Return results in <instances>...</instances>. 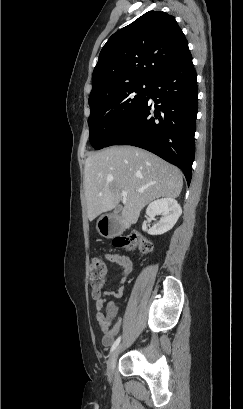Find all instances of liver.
I'll return each mask as SVG.
<instances>
[{"label":"liver","mask_w":243,"mask_h":409,"mask_svg":"<svg viewBox=\"0 0 243 409\" xmlns=\"http://www.w3.org/2000/svg\"><path fill=\"white\" fill-rule=\"evenodd\" d=\"M182 186L180 169L137 147L112 146L85 161L84 191L90 221L115 209L125 190L122 219L135 224L147 204L161 197L177 198Z\"/></svg>","instance_id":"1"}]
</instances>
